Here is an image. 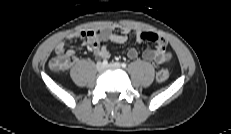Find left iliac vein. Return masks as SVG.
I'll list each match as a JSON object with an SVG mask.
<instances>
[{
    "label": "left iliac vein",
    "instance_id": "left-iliac-vein-1",
    "mask_svg": "<svg viewBox=\"0 0 231 134\" xmlns=\"http://www.w3.org/2000/svg\"><path fill=\"white\" fill-rule=\"evenodd\" d=\"M107 68H120L121 65L118 62L110 63L106 66Z\"/></svg>",
    "mask_w": 231,
    "mask_h": 134
}]
</instances>
